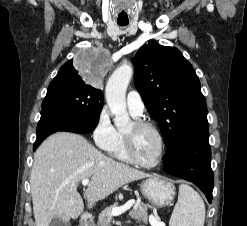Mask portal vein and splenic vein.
Wrapping results in <instances>:
<instances>
[{
  "mask_svg": "<svg viewBox=\"0 0 247 226\" xmlns=\"http://www.w3.org/2000/svg\"><path fill=\"white\" fill-rule=\"evenodd\" d=\"M88 184H89V179H83L82 180V185L83 186H87ZM134 203H135V200H129L124 205H122L120 207L113 208L111 213H110V217L118 216V215L124 213L125 211L130 209L134 205Z\"/></svg>",
  "mask_w": 247,
  "mask_h": 226,
  "instance_id": "portal-vein-and-splenic-vein-1",
  "label": "portal vein and splenic vein"
}]
</instances>
